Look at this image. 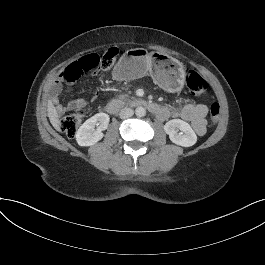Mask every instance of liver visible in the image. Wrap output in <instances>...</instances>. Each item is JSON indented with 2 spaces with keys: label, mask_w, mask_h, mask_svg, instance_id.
Masks as SVG:
<instances>
[{
  "label": "liver",
  "mask_w": 265,
  "mask_h": 265,
  "mask_svg": "<svg viewBox=\"0 0 265 265\" xmlns=\"http://www.w3.org/2000/svg\"><path fill=\"white\" fill-rule=\"evenodd\" d=\"M47 113L50 120L51 125L57 132H61V122H60V114L57 111L52 99L48 98L47 100Z\"/></svg>",
  "instance_id": "1"
}]
</instances>
